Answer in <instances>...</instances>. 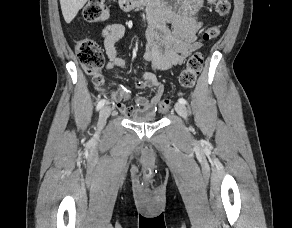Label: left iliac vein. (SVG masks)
I'll return each mask as SVG.
<instances>
[{
  "label": "left iliac vein",
  "instance_id": "obj_1",
  "mask_svg": "<svg viewBox=\"0 0 292 228\" xmlns=\"http://www.w3.org/2000/svg\"><path fill=\"white\" fill-rule=\"evenodd\" d=\"M175 110L181 117H183L185 120H187L188 113H187V109H186L184 104H181L179 102L176 103Z\"/></svg>",
  "mask_w": 292,
  "mask_h": 228
}]
</instances>
